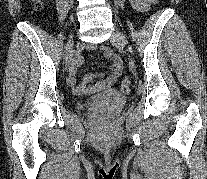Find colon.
I'll return each instance as SVG.
<instances>
[{
	"mask_svg": "<svg viewBox=\"0 0 207 179\" xmlns=\"http://www.w3.org/2000/svg\"><path fill=\"white\" fill-rule=\"evenodd\" d=\"M31 2L37 10H41L44 6V0H31ZM120 90L122 93H128L130 91V81L127 77L122 81Z\"/></svg>",
	"mask_w": 207,
	"mask_h": 179,
	"instance_id": "1",
	"label": "colon"
}]
</instances>
